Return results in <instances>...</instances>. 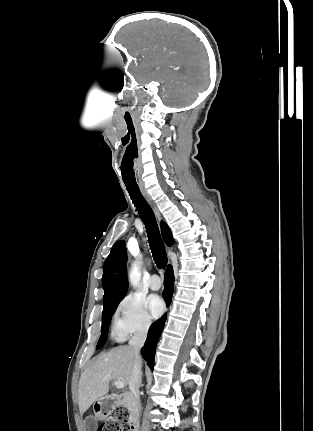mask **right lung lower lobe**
I'll use <instances>...</instances> for the list:
<instances>
[{
  "label": "right lung lower lobe",
  "mask_w": 313,
  "mask_h": 431,
  "mask_svg": "<svg viewBox=\"0 0 313 431\" xmlns=\"http://www.w3.org/2000/svg\"><path fill=\"white\" fill-rule=\"evenodd\" d=\"M164 286L165 288L163 291V297L168 306L171 302V297H172L173 287H174V274H173L172 266L170 265L168 266L165 272ZM165 321H166V315H163L161 319L157 320L151 325L145 345L141 349L142 357L146 360L150 369H153L154 367L155 350H156V346L160 338V335L163 331Z\"/></svg>",
  "instance_id": "98d812e1"
}]
</instances>
